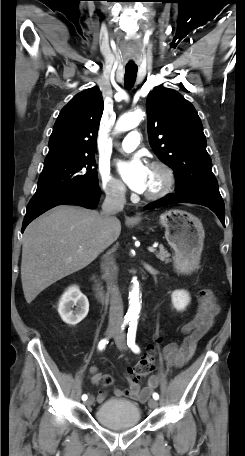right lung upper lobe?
I'll list each match as a JSON object with an SVG mask.
<instances>
[{"label":"right lung upper lobe","instance_id":"obj_1","mask_svg":"<svg viewBox=\"0 0 245 456\" xmlns=\"http://www.w3.org/2000/svg\"><path fill=\"white\" fill-rule=\"evenodd\" d=\"M102 113L103 98L98 87L75 95L61 110L54 124L44 165L93 155Z\"/></svg>","mask_w":245,"mask_h":456}]
</instances>
